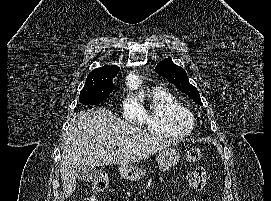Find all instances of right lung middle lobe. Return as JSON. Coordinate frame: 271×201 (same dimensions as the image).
Returning <instances> with one entry per match:
<instances>
[{"mask_svg":"<svg viewBox=\"0 0 271 201\" xmlns=\"http://www.w3.org/2000/svg\"><path fill=\"white\" fill-rule=\"evenodd\" d=\"M115 75L87 78L80 92L79 101L85 105H95L107 99L115 86L112 79Z\"/></svg>","mask_w":271,"mask_h":201,"instance_id":"dd1d6c3e","label":"right lung middle lobe"}]
</instances>
